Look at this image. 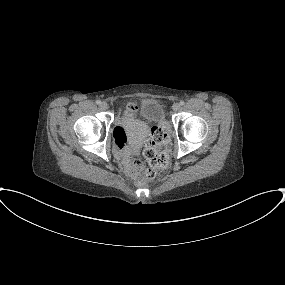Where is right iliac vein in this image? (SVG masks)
Returning <instances> with one entry per match:
<instances>
[{
    "label": "right iliac vein",
    "instance_id": "obj_1",
    "mask_svg": "<svg viewBox=\"0 0 285 285\" xmlns=\"http://www.w3.org/2000/svg\"><path fill=\"white\" fill-rule=\"evenodd\" d=\"M101 109L106 110L108 108V104L106 102H102L100 104Z\"/></svg>",
    "mask_w": 285,
    "mask_h": 285
}]
</instances>
